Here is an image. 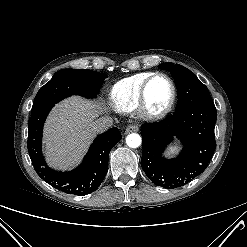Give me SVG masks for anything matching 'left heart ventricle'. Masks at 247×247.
I'll list each match as a JSON object with an SVG mask.
<instances>
[{"instance_id":"b2bd125f","label":"left heart ventricle","mask_w":247,"mask_h":247,"mask_svg":"<svg viewBox=\"0 0 247 247\" xmlns=\"http://www.w3.org/2000/svg\"><path fill=\"white\" fill-rule=\"evenodd\" d=\"M171 97V86L163 77L155 78L149 85L147 91L148 105L152 110L164 108Z\"/></svg>"}]
</instances>
